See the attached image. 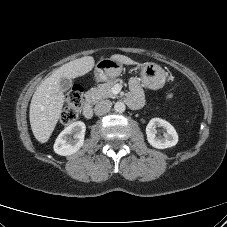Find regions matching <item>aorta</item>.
Returning a JSON list of instances; mask_svg holds the SVG:
<instances>
[{
	"instance_id": "762f6f07",
	"label": "aorta",
	"mask_w": 227,
	"mask_h": 227,
	"mask_svg": "<svg viewBox=\"0 0 227 227\" xmlns=\"http://www.w3.org/2000/svg\"><path fill=\"white\" fill-rule=\"evenodd\" d=\"M126 109V106L123 102H116L115 105H114V110L117 112V113H123Z\"/></svg>"
}]
</instances>
